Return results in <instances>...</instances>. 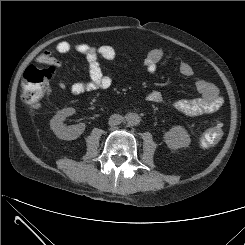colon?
<instances>
[{
    "label": "colon",
    "mask_w": 245,
    "mask_h": 245,
    "mask_svg": "<svg viewBox=\"0 0 245 245\" xmlns=\"http://www.w3.org/2000/svg\"><path fill=\"white\" fill-rule=\"evenodd\" d=\"M52 73L49 69L29 66L22 79V100L31 107H37L40 101L48 94ZM222 122L217 120L202 136L204 147L215 145L222 137Z\"/></svg>",
    "instance_id": "1"
}]
</instances>
